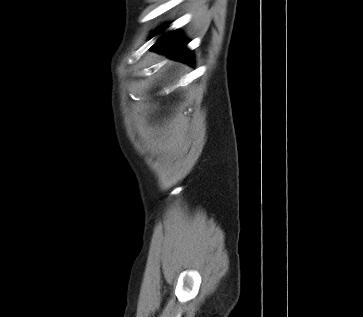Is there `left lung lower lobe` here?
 Here are the masks:
<instances>
[{"mask_svg":"<svg viewBox=\"0 0 363 317\" xmlns=\"http://www.w3.org/2000/svg\"><path fill=\"white\" fill-rule=\"evenodd\" d=\"M187 42L176 32H171L161 37L151 48L152 51L166 53L173 59L192 64V55L184 50Z\"/></svg>","mask_w":363,"mask_h":317,"instance_id":"left-lung-lower-lobe-1","label":"left lung lower lobe"}]
</instances>
